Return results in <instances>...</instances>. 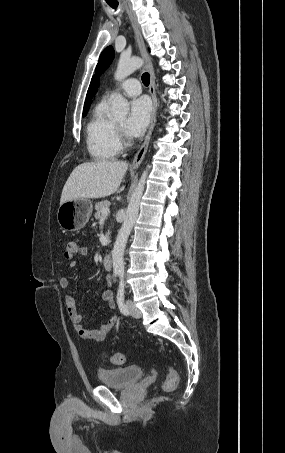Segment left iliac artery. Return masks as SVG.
<instances>
[{"instance_id":"1","label":"left iliac artery","mask_w":285,"mask_h":453,"mask_svg":"<svg viewBox=\"0 0 285 453\" xmlns=\"http://www.w3.org/2000/svg\"><path fill=\"white\" fill-rule=\"evenodd\" d=\"M120 276H121L120 284H119V288H118V292H117V304H118V307H119L121 313L124 315H128L129 311L124 303V298H125L124 286H125V284H124V280H123V273H120Z\"/></svg>"}]
</instances>
